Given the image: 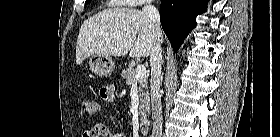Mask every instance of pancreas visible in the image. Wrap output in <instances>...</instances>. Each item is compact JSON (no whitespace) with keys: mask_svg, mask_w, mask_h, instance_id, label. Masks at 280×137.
<instances>
[{"mask_svg":"<svg viewBox=\"0 0 280 137\" xmlns=\"http://www.w3.org/2000/svg\"><path fill=\"white\" fill-rule=\"evenodd\" d=\"M135 69L129 66L126 70L124 69L121 73V77L125 79L126 85L131 86L134 83H138V92L140 97L139 114L141 115V121L146 119L149 113V91H148V79L143 77L142 79L135 80Z\"/></svg>","mask_w":280,"mask_h":137,"instance_id":"obj_1","label":"pancreas"}]
</instances>
